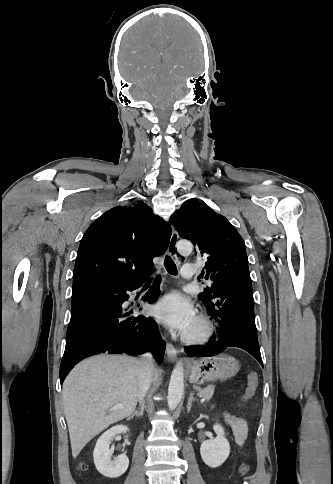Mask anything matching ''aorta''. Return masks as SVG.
I'll return each instance as SVG.
<instances>
[{
    "label": "aorta",
    "mask_w": 333,
    "mask_h": 484,
    "mask_svg": "<svg viewBox=\"0 0 333 484\" xmlns=\"http://www.w3.org/2000/svg\"><path fill=\"white\" fill-rule=\"evenodd\" d=\"M177 250L183 255H188L192 251V245L188 241H180ZM184 391V369L182 361H178L172 371L168 387V407L174 410L181 402Z\"/></svg>",
    "instance_id": "762f6f07"
}]
</instances>
